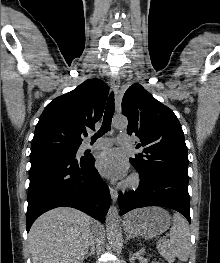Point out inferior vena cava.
<instances>
[{
  "label": "inferior vena cava",
  "instance_id": "inferior-vena-cava-1",
  "mask_svg": "<svg viewBox=\"0 0 220 263\" xmlns=\"http://www.w3.org/2000/svg\"><path fill=\"white\" fill-rule=\"evenodd\" d=\"M98 235V231H93L92 232V238H91V242H90V244L92 245V246H94V244H95V241H96V236Z\"/></svg>",
  "mask_w": 220,
  "mask_h": 263
}]
</instances>
